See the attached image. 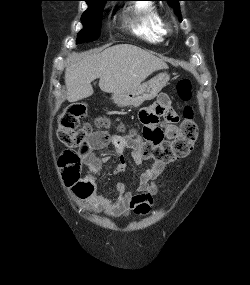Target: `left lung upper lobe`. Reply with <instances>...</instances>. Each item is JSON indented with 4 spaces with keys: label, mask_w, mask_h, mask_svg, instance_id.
<instances>
[{
    "label": "left lung upper lobe",
    "mask_w": 250,
    "mask_h": 285,
    "mask_svg": "<svg viewBox=\"0 0 250 285\" xmlns=\"http://www.w3.org/2000/svg\"><path fill=\"white\" fill-rule=\"evenodd\" d=\"M167 1L168 4L174 9L175 14L179 17V20L182 21L180 8H179V1L182 0H163Z\"/></svg>",
    "instance_id": "5c2ea615"
}]
</instances>
